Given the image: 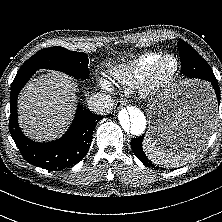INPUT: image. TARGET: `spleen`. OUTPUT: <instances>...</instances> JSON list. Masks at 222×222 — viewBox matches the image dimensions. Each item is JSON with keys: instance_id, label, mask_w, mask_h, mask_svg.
<instances>
[{"instance_id": "3e777b00", "label": "spleen", "mask_w": 222, "mask_h": 222, "mask_svg": "<svg viewBox=\"0 0 222 222\" xmlns=\"http://www.w3.org/2000/svg\"><path fill=\"white\" fill-rule=\"evenodd\" d=\"M143 148L147 157L156 165L173 168L185 165L192 160L199 151H184L172 148H165L146 137L143 141Z\"/></svg>"}]
</instances>
